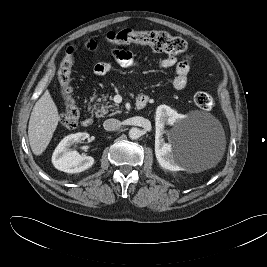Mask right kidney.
Returning a JSON list of instances; mask_svg holds the SVG:
<instances>
[{
	"label": "right kidney",
	"mask_w": 267,
	"mask_h": 267,
	"mask_svg": "<svg viewBox=\"0 0 267 267\" xmlns=\"http://www.w3.org/2000/svg\"><path fill=\"white\" fill-rule=\"evenodd\" d=\"M89 137L88 133H75L66 136L58 144L52 155L54 167L66 173H79L94 164L91 156H81L77 151L70 150L75 143L82 142Z\"/></svg>",
	"instance_id": "right-kidney-1"
}]
</instances>
